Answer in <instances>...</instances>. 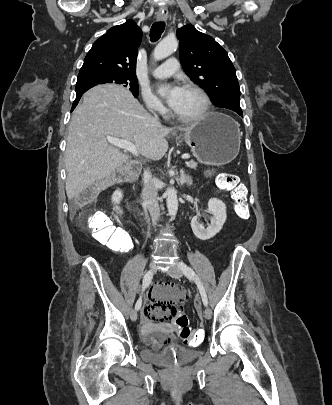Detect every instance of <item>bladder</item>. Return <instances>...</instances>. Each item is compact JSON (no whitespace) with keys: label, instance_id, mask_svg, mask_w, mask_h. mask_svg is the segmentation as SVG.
I'll use <instances>...</instances> for the list:
<instances>
[{"label":"bladder","instance_id":"bladder-1","mask_svg":"<svg viewBox=\"0 0 332 405\" xmlns=\"http://www.w3.org/2000/svg\"><path fill=\"white\" fill-rule=\"evenodd\" d=\"M145 347L139 351L145 362L160 365H185L201 354L198 349H189L174 343H149L143 338Z\"/></svg>","mask_w":332,"mask_h":405}]
</instances>
